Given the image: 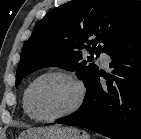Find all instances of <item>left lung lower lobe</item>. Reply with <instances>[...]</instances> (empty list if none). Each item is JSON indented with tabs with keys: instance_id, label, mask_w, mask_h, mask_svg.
<instances>
[{
	"instance_id": "left-lung-lower-lobe-1",
	"label": "left lung lower lobe",
	"mask_w": 141,
	"mask_h": 139,
	"mask_svg": "<svg viewBox=\"0 0 141 139\" xmlns=\"http://www.w3.org/2000/svg\"><path fill=\"white\" fill-rule=\"evenodd\" d=\"M106 85L93 76L82 106L56 123L85 127L112 139H141V24L112 43Z\"/></svg>"
}]
</instances>
